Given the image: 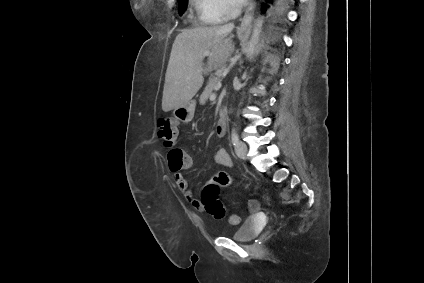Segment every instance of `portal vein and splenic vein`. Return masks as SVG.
<instances>
[{"instance_id":"portal-vein-and-splenic-vein-1","label":"portal vein and splenic vein","mask_w":424,"mask_h":283,"mask_svg":"<svg viewBox=\"0 0 424 283\" xmlns=\"http://www.w3.org/2000/svg\"><path fill=\"white\" fill-rule=\"evenodd\" d=\"M209 55V51H205L204 52V56H208ZM222 84L221 82H218L215 86H214V90L218 91L221 88ZM214 95V94H213Z\"/></svg>"}]
</instances>
